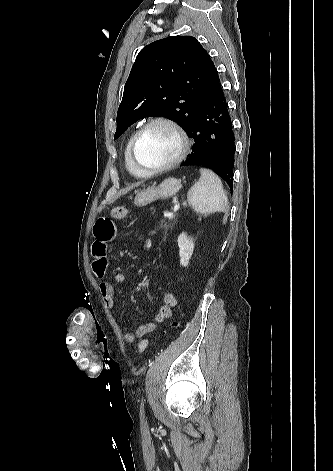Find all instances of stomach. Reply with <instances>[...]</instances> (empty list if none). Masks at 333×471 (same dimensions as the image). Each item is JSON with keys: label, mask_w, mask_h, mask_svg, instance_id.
I'll return each instance as SVG.
<instances>
[{"label": "stomach", "mask_w": 333, "mask_h": 471, "mask_svg": "<svg viewBox=\"0 0 333 471\" xmlns=\"http://www.w3.org/2000/svg\"><path fill=\"white\" fill-rule=\"evenodd\" d=\"M181 188V181L173 177L165 179L158 186H150L139 191L134 198V205L146 206L158 199L170 198Z\"/></svg>", "instance_id": "0dacf381"}]
</instances>
